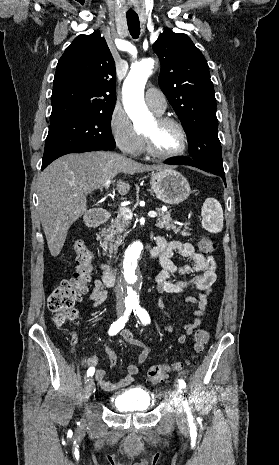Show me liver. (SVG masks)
Returning a JSON list of instances; mask_svg holds the SVG:
<instances>
[{
    "mask_svg": "<svg viewBox=\"0 0 279 465\" xmlns=\"http://www.w3.org/2000/svg\"><path fill=\"white\" fill-rule=\"evenodd\" d=\"M144 165L123 155L96 151L68 154L53 161L38 179V212L53 257L61 252L69 228L87 212V195L101 189L118 173L133 175L165 168ZM129 183L118 180L117 191L126 195Z\"/></svg>",
    "mask_w": 279,
    "mask_h": 465,
    "instance_id": "1",
    "label": "liver"
}]
</instances>
